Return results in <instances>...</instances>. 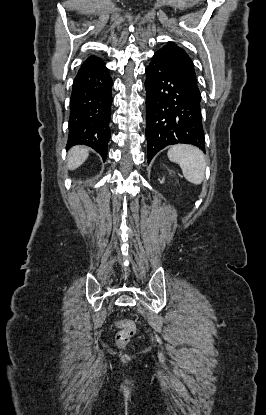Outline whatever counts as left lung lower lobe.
<instances>
[{
  "mask_svg": "<svg viewBox=\"0 0 266 415\" xmlns=\"http://www.w3.org/2000/svg\"><path fill=\"white\" fill-rule=\"evenodd\" d=\"M145 72L148 162L164 147L178 143L205 152L201 95L158 53Z\"/></svg>",
  "mask_w": 266,
  "mask_h": 415,
  "instance_id": "left-lung-lower-lobe-1",
  "label": "left lung lower lobe"
}]
</instances>
